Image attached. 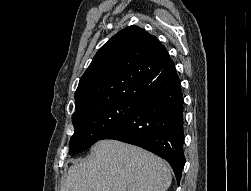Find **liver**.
Returning <instances> with one entry per match:
<instances>
[{
    "mask_svg": "<svg viewBox=\"0 0 251 191\" xmlns=\"http://www.w3.org/2000/svg\"><path fill=\"white\" fill-rule=\"evenodd\" d=\"M92 151L70 165L61 191H166L171 185L167 161L142 147L101 139Z\"/></svg>",
    "mask_w": 251,
    "mask_h": 191,
    "instance_id": "liver-1",
    "label": "liver"
}]
</instances>
